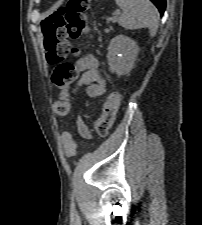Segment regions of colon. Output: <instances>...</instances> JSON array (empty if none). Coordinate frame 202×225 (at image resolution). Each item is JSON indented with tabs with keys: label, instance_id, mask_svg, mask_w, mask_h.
Here are the masks:
<instances>
[{
	"label": "colon",
	"instance_id": "1",
	"mask_svg": "<svg viewBox=\"0 0 202 225\" xmlns=\"http://www.w3.org/2000/svg\"><path fill=\"white\" fill-rule=\"evenodd\" d=\"M88 0H69L66 5L52 13L42 22L41 28L45 41L46 61L53 66L52 81L61 90V97L55 101V113L59 116H66L70 112L71 104L69 99V85L74 78L73 66L66 61L71 52L68 37L77 38L88 30L87 11ZM122 94L119 91L107 93L103 112L94 121L96 134L106 137L116 118ZM62 143L67 156L75 154V144L67 136L62 138Z\"/></svg>",
	"mask_w": 202,
	"mask_h": 225
}]
</instances>
